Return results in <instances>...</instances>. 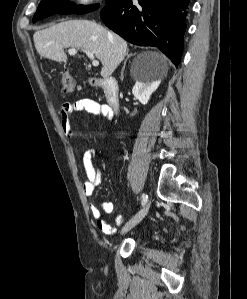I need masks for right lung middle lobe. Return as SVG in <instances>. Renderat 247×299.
<instances>
[{
	"instance_id": "right-lung-middle-lobe-1",
	"label": "right lung middle lobe",
	"mask_w": 247,
	"mask_h": 299,
	"mask_svg": "<svg viewBox=\"0 0 247 299\" xmlns=\"http://www.w3.org/2000/svg\"><path fill=\"white\" fill-rule=\"evenodd\" d=\"M117 0H107L106 4ZM99 5H76L69 0H41L38 9L33 17V22L42 20L53 14H85L98 9Z\"/></svg>"
}]
</instances>
